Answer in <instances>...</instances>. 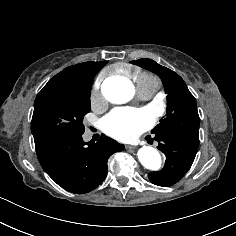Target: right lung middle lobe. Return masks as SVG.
Wrapping results in <instances>:
<instances>
[{"mask_svg": "<svg viewBox=\"0 0 236 236\" xmlns=\"http://www.w3.org/2000/svg\"><path fill=\"white\" fill-rule=\"evenodd\" d=\"M90 92L91 86L44 87L34 102L31 121L34 140L56 134H83V118L90 112Z\"/></svg>", "mask_w": 236, "mask_h": 236, "instance_id": "dd1d6c3e", "label": "right lung middle lobe"}]
</instances>
